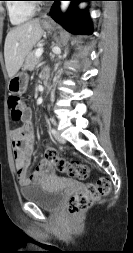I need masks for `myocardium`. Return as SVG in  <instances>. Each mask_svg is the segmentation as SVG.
<instances>
[{
    "label": "myocardium",
    "instance_id": "f54148a6",
    "mask_svg": "<svg viewBox=\"0 0 133 253\" xmlns=\"http://www.w3.org/2000/svg\"><path fill=\"white\" fill-rule=\"evenodd\" d=\"M31 5H32L34 8H35V6H36L35 4H31Z\"/></svg>",
    "mask_w": 133,
    "mask_h": 253
}]
</instances>
